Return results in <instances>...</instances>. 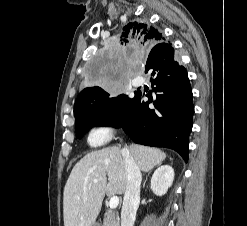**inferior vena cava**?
Listing matches in <instances>:
<instances>
[{
  "label": "inferior vena cava",
  "mask_w": 247,
  "mask_h": 226,
  "mask_svg": "<svg viewBox=\"0 0 247 226\" xmlns=\"http://www.w3.org/2000/svg\"><path fill=\"white\" fill-rule=\"evenodd\" d=\"M121 153L124 157L127 178L126 190L124 193L121 210V226H133L136 211L140 202V185L142 175L140 168L134 161L129 150L123 149Z\"/></svg>",
  "instance_id": "obj_1"
}]
</instances>
